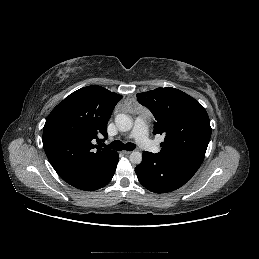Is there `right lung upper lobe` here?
I'll return each instance as SVG.
<instances>
[{
  "label": "right lung upper lobe",
  "instance_id": "right-lung-upper-lobe-1",
  "mask_svg": "<svg viewBox=\"0 0 259 259\" xmlns=\"http://www.w3.org/2000/svg\"><path fill=\"white\" fill-rule=\"evenodd\" d=\"M122 96L101 86L81 88L60 102L43 129V147L58 175L67 183L111 163L117 153L96 148L93 139L107 137V123Z\"/></svg>",
  "mask_w": 259,
  "mask_h": 259
}]
</instances>
